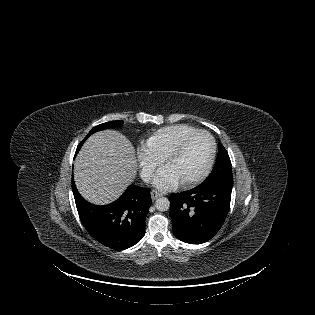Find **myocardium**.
Instances as JSON below:
<instances>
[{
    "label": "myocardium",
    "mask_w": 315,
    "mask_h": 315,
    "mask_svg": "<svg viewBox=\"0 0 315 315\" xmlns=\"http://www.w3.org/2000/svg\"><path fill=\"white\" fill-rule=\"evenodd\" d=\"M199 134H205L210 140L211 149H210L209 158L204 169L197 176L190 178L188 180L181 181V183L184 186L195 185L203 181L208 176L213 166L215 156H216V142L214 140V137L206 130H196L192 133H189L179 140V142L168 152V154L165 156L163 160L164 165L167 167L168 163L183 151L188 141L192 139L194 136L199 135Z\"/></svg>",
    "instance_id": "myocardium-1"
}]
</instances>
